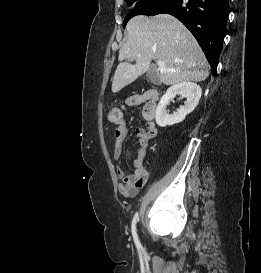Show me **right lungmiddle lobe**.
Instances as JSON below:
<instances>
[{"mask_svg": "<svg viewBox=\"0 0 261 273\" xmlns=\"http://www.w3.org/2000/svg\"><path fill=\"white\" fill-rule=\"evenodd\" d=\"M168 0H126L128 6H132L134 9L131 10L123 22V27L126 26L129 19L136 15H142L147 8L154 6L159 3H163Z\"/></svg>", "mask_w": 261, "mask_h": 273, "instance_id": "1", "label": "right lung middle lobe"}]
</instances>
